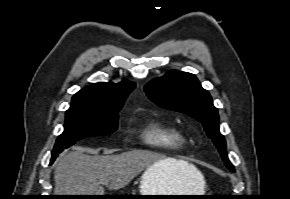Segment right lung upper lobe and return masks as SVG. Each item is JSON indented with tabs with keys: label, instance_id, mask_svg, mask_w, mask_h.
Returning <instances> with one entry per match:
<instances>
[{
	"label": "right lung upper lobe",
	"instance_id": "obj_1",
	"mask_svg": "<svg viewBox=\"0 0 290 199\" xmlns=\"http://www.w3.org/2000/svg\"><path fill=\"white\" fill-rule=\"evenodd\" d=\"M135 84L123 79L120 83H95L77 92L69 109L89 111L120 110Z\"/></svg>",
	"mask_w": 290,
	"mask_h": 199
}]
</instances>
